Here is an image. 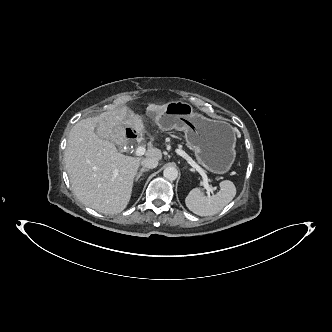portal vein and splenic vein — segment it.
I'll use <instances>...</instances> for the list:
<instances>
[{
  "label": "portal vein and splenic vein",
  "instance_id": "1",
  "mask_svg": "<svg viewBox=\"0 0 332 332\" xmlns=\"http://www.w3.org/2000/svg\"><path fill=\"white\" fill-rule=\"evenodd\" d=\"M145 152H146V150H145V148L144 147H142V146H140V147H138L136 150H135V155L136 156H142V155H144L145 154ZM177 152V154H179L180 156H182L184 159H186L187 160V162L196 170V171H198V172H200L201 174H202V176H203V183H204V186H205V188L209 191V192H212L213 191V189L211 188V187H209V185H208V178H207V176H206V174H204V173H202V169L195 163V161L194 160H192L184 151H182V150H177L176 151Z\"/></svg>",
  "mask_w": 332,
  "mask_h": 332
}]
</instances>
